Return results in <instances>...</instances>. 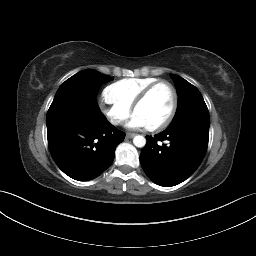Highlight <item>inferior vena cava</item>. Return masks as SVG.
Returning a JSON list of instances; mask_svg holds the SVG:
<instances>
[{"label":"inferior vena cava","instance_id":"1","mask_svg":"<svg viewBox=\"0 0 256 256\" xmlns=\"http://www.w3.org/2000/svg\"><path fill=\"white\" fill-rule=\"evenodd\" d=\"M113 123L117 125L120 123V120H115Z\"/></svg>","mask_w":256,"mask_h":256}]
</instances>
